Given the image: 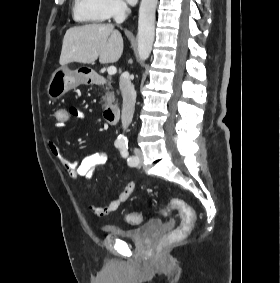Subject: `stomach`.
<instances>
[{"instance_id": "obj_1", "label": "stomach", "mask_w": 280, "mask_h": 283, "mask_svg": "<svg viewBox=\"0 0 280 283\" xmlns=\"http://www.w3.org/2000/svg\"><path fill=\"white\" fill-rule=\"evenodd\" d=\"M89 71L86 68L70 70L66 65L57 68L52 73L47 85V96L52 100H57L81 84L88 85L91 81V72Z\"/></svg>"}]
</instances>
